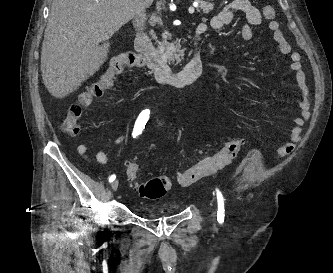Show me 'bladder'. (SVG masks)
I'll list each match as a JSON object with an SVG mask.
<instances>
[{
  "instance_id": "31cf9c89",
  "label": "bladder",
  "mask_w": 333,
  "mask_h": 273,
  "mask_svg": "<svg viewBox=\"0 0 333 273\" xmlns=\"http://www.w3.org/2000/svg\"><path fill=\"white\" fill-rule=\"evenodd\" d=\"M175 210L173 209H160L159 211H157L154 216H163V215H167V214H171L173 213Z\"/></svg>"
}]
</instances>
